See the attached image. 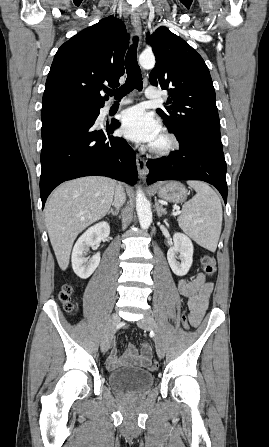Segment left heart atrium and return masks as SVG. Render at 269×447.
Returning a JSON list of instances; mask_svg holds the SVG:
<instances>
[{
  "label": "left heart atrium",
  "instance_id": "39dd6f15",
  "mask_svg": "<svg viewBox=\"0 0 269 447\" xmlns=\"http://www.w3.org/2000/svg\"><path fill=\"white\" fill-rule=\"evenodd\" d=\"M120 123L121 134L135 142L151 144L162 132L160 120L141 106L124 110Z\"/></svg>",
  "mask_w": 269,
  "mask_h": 447
}]
</instances>
